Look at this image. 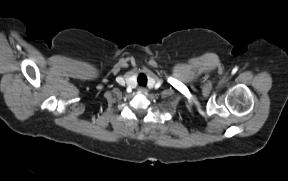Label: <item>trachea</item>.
<instances>
[{
  "mask_svg": "<svg viewBox=\"0 0 288 181\" xmlns=\"http://www.w3.org/2000/svg\"><path fill=\"white\" fill-rule=\"evenodd\" d=\"M138 83H139V85H143V86H146V84H147V78H146V76L145 75H140L139 77H138Z\"/></svg>",
  "mask_w": 288,
  "mask_h": 181,
  "instance_id": "3493384b",
  "label": "trachea"
}]
</instances>
